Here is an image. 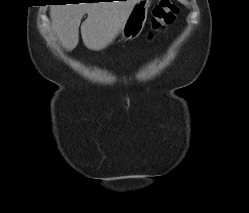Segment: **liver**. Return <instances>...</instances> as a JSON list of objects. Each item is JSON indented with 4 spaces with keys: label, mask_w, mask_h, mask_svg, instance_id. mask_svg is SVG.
I'll return each instance as SVG.
<instances>
[{
    "label": "liver",
    "mask_w": 249,
    "mask_h": 213,
    "mask_svg": "<svg viewBox=\"0 0 249 213\" xmlns=\"http://www.w3.org/2000/svg\"><path fill=\"white\" fill-rule=\"evenodd\" d=\"M137 1L52 5L53 33L67 51H72L78 45L80 23L87 13L81 25L83 43L90 50L101 51L114 41Z\"/></svg>",
    "instance_id": "obj_1"
}]
</instances>
